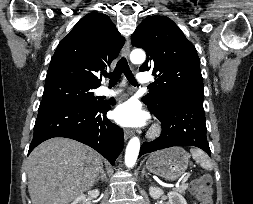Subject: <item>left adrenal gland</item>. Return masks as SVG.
<instances>
[{
  "label": "left adrenal gland",
  "mask_w": 253,
  "mask_h": 204,
  "mask_svg": "<svg viewBox=\"0 0 253 204\" xmlns=\"http://www.w3.org/2000/svg\"><path fill=\"white\" fill-rule=\"evenodd\" d=\"M144 175L147 177V178H149V174L148 173H146V171H145V167H143V169H142V177H144Z\"/></svg>",
  "instance_id": "a2214340"
}]
</instances>
